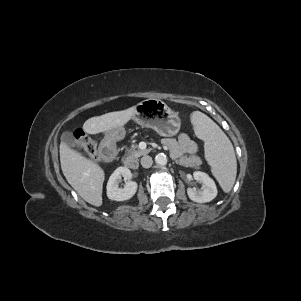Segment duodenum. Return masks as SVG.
I'll return each mask as SVG.
<instances>
[{
  "label": "duodenum",
  "mask_w": 301,
  "mask_h": 301,
  "mask_svg": "<svg viewBox=\"0 0 301 301\" xmlns=\"http://www.w3.org/2000/svg\"><path fill=\"white\" fill-rule=\"evenodd\" d=\"M116 149H117V146L113 140H110V139L104 140L101 143V146L98 151L99 158L102 161H105L108 163L114 162L118 156ZM125 166L128 169H136L137 163L132 159H127L125 161Z\"/></svg>",
  "instance_id": "410a0bca"
}]
</instances>
